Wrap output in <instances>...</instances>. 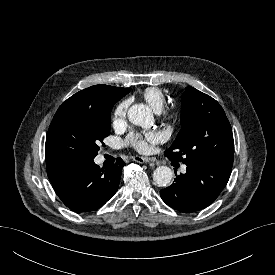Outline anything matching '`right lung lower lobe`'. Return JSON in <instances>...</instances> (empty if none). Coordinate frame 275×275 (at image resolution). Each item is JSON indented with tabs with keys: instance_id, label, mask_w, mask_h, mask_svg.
<instances>
[{
	"instance_id": "right-lung-lower-lobe-1",
	"label": "right lung lower lobe",
	"mask_w": 275,
	"mask_h": 275,
	"mask_svg": "<svg viewBox=\"0 0 275 275\" xmlns=\"http://www.w3.org/2000/svg\"><path fill=\"white\" fill-rule=\"evenodd\" d=\"M125 165L121 158L104 170L90 161L46 163L48 178L61 201L81 213L102 207L116 193Z\"/></svg>"
}]
</instances>
